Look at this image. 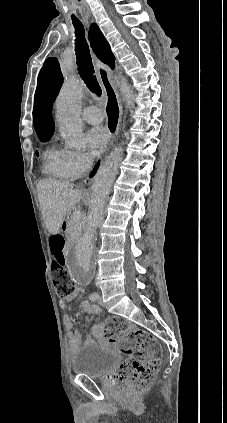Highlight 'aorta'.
Segmentation results:
<instances>
[{"label":"aorta","mask_w":227,"mask_h":423,"mask_svg":"<svg viewBox=\"0 0 227 423\" xmlns=\"http://www.w3.org/2000/svg\"><path fill=\"white\" fill-rule=\"evenodd\" d=\"M121 91L127 106L132 105L133 92L129 84L123 80ZM83 96L81 83L70 78L64 82L56 100V118L59 131L65 145L71 148L83 146V123L80 119V102ZM122 147L115 148L106 158L96 173L92 187L90 209L83 236L72 244L66 254V267L72 280L85 284L89 282L96 269V253L94 237L101 224L106 198L118 173L122 160Z\"/></svg>","instance_id":"aorta-1"}]
</instances>
